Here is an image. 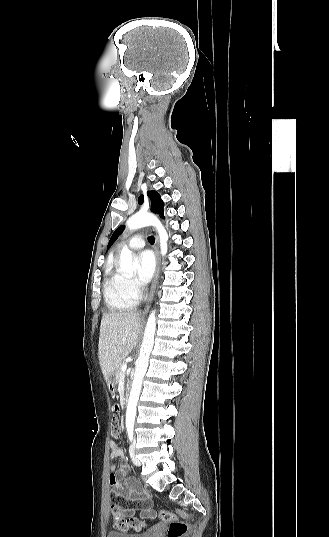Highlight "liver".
Segmentation results:
<instances>
[{
  "mask_svg": "<svg viewBox=\"0 0 329 537\" xmlns=\"http://www.w3.org/2000/svg\"><path fill=\"white\" fill-rule=\"evenodd\" d=\"M139 332L138 313H113L102 317L98 354L106 381L116 371L122 359L135 348Z\"/></svg>",
  "mask_w": 329,
  "mask_h": 537,
  "instance_id": "1",
  "label": "liver"
}]
</instances>
